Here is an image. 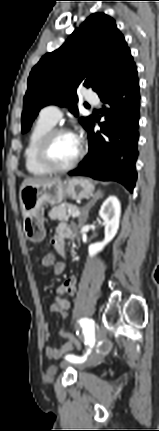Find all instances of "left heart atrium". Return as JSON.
<instances>
[{
  "label": "left heart atrium",
  "instance_id": "39dd6f15",
  "mask_svg": "<svg viewBox=\"0 0 159 431\" xmlns=\"http://www.w3.org/2000/svg\"><path fill=\"white\" fill-rule=\"evenodd\" d=\"M71 134L74 137L76 143L80 146V143H81V137H80V135L77 134V133H71Z\"/></svg>",
  "mask_w": 159,
  "mask_h": 431
}]
</instances>
